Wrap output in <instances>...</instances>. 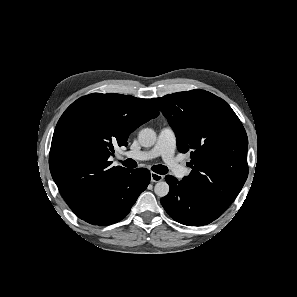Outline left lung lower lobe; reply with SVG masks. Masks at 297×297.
Returning a JSON list of instances; mask_svg holds the SVG:
<instances>
[{"label":"left lung lower lobe","mask_w":297,"mask_h":297,"mask_svg":"<svg viewBox=\"0 0 297 297\" xmlns=\"http://www.w3.org/2000/svg\"><path fill=\"white\" fill-rule=\"evenodd\" d=\"M165 180L170 191L161 199V204L175 221L188 226H202L216 220L224 212L194 193L183 181L170 175Z\"/></svg>","instance_id":"0a47b994"}]
</instances>
